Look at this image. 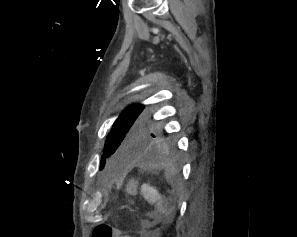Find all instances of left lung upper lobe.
<instances>
[{
    "instance_id": "left-lung-upper-lobe-1",
    "label": "left lung upper lobe",
    "mask_w": 297,
    "mask_h": 237,
    "mask_svg": "<svg viewBox=\"0 0 297 237\" xmlns=\"http://www.w3.org/2000/svg\"><path fill=\"white\" fill-rule=\"evenodd\" d=\"M154 129L148 123L144 105L137 104L127 108L114 122L106 139L100 169L110 156L116 160H126L147 155L159 138Z\"/></svg>"
}]
</instances>
